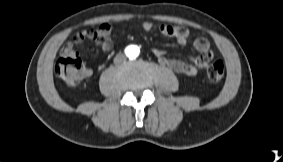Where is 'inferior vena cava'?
<instances>
[{
  "instance_id": "1",
  "label": "inferior vena cava",
  "mask_w": 283,
  "mask_h": 162,
  "mask_svg": "<svg viewBox=\"0 0 283 162\" xmlns=\"http://www.w3.org/2000/svg\"><path fill=\"white\" fill-rule=\"evenodd\" d=\"M126 60V56L122 53H119L115 56L114 58V63L115 64H120Z\"/></svg>"
}]
</instances>
